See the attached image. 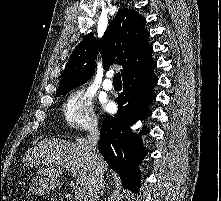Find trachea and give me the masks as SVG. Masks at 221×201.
Segmentation results:
<instances>
[{
	"instance_id": "1",
	"label": "trachea",
	"mask_w": 221,
	"mask_h": 201,
	"mask_svg": "<svg viewBox=\"0 0 221 201\" xmlns=\"http://www.w3.org/2000/svg\"><path fill=\"white\" fill-rule=\"evenodd\" d=\"M113 82L114 83H121V75L119 72L114 75Z\"/></svg>"
}]
</instances>
